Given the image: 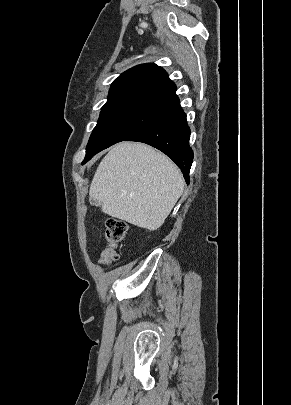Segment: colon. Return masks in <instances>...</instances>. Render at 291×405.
I'll use <instances>...</instances> for the list:
<instances>
[{"instance_id":"5ec220e1","label":"colon","mask_w":291,"mask_h":405,"mask_svg":"<svg viewBox=\"0 0 291 405\" xmlns=\"http://www.w3.org/2000/svg\"><path fill=\"white\" fill-rule=\"evenodd\" d=\"M127 234L126 224L119 219L109 218L105 223L106 247L100 255V264L110 265L118 260L117 245L124 240Z\"/></svg>"}]
</instances>
